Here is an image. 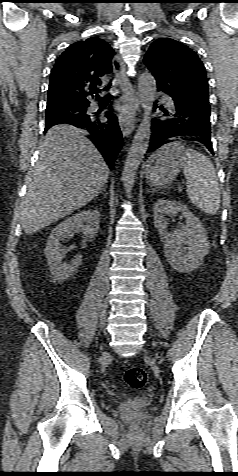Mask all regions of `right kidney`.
Listing matches in <instances>:
<instances>
[{
  "label": "right kidney",
  "mask_w": 238,
  "mask_h": 476,
  "mask_svg": "<svg viewBox=\"0 0 238 476\" xmlns=\"http://www.w3.org/2000/svg\"><path fill=\"white\" fill-rule=\"evenodd\" d=\"M100 214L97 210H86L62 221L50 234L44 254L53 278L63 281L69 278L82 263V257L76 255L70 264L62 263L63 252L60 249V241L75 232L92 239L98 232Z\"/></svg>",
  "instance_id": "1"
}]
</instances>
